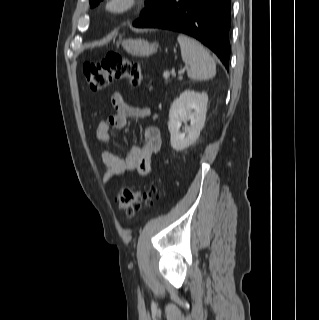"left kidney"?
Listing matches in <instances>:
<instances>
[{
  "instance_id": "5707ae66",
  "label": "left kidney",
  "mask_w": 319,
  "mask_h": 320,
  "mask_svg": "<svg viewBox=\"0 0 319 320\" xmlns=\"http://www.w3.org/2000/svg\"><path fill=\"white\" fill-rule=\"evenodd\" d=\"M208 95L192 90H185L173 101L169 111L168 129L170 143L174 150L182 151L192 145L204 127L207 112ZM190 121V126L180 132L182 122Z\"/></svg>"
}]
</instances>
